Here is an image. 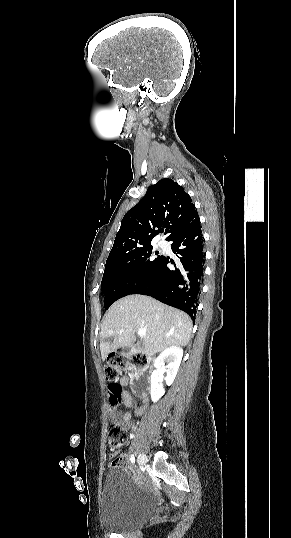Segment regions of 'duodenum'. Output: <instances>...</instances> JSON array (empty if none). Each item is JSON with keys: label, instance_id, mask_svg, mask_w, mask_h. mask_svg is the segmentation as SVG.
<instances>
[{"label": "duodenum", "instance_id": "1", "mask_svg": "<svg viewBox=\"0 0 291 538\" xmlns=\"http://www.w3.org/2000/svg\"><path fill=\"white\" fill-rule=\"evenodd\" d=\"M126 354H133L137 352V350H134L132 348H125L123 350ZM145 364H143V369L146 374H142L141 372L136 373H130V378H133V391L132 394L135 397L142 396L143 398L146 397L147 392H151L153 388V380L151 377H149L147 374L151 372V370L154 368V357L152 355H148L146 357Z\"/></svg>", "mask_w": 291, "mask_h": 538}]
</instances>
